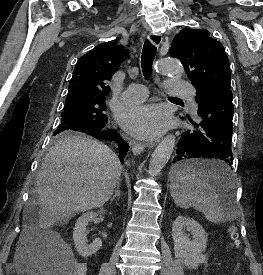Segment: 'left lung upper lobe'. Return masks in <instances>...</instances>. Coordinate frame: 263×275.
<instances>
[{"instance_id": "5c2ea615", "label": "left lung upper lobe", "mask_w": 263, "mask_h": 275, "mask_svg": "<svg viewBox=\"0 0 263 275\" xmlns=\"http://www.w3.org/2000/svg\"><path fill=\"white\" fill-rule=\"evenodd\" d=\"M170 55L180 59L196 88L197 103L219 89H230V64L223 45L206 29H183L173 39Z\"/></svg>"}]
</instances>
